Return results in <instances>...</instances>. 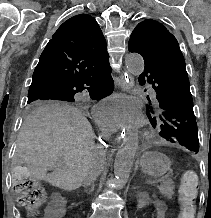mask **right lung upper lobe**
I'll return each instance as SVG.
<instances>
[{
    "label": "right lung upper lobe",
    "mask_w": 211,
    "mask_h": 218,
    "mask_svg": "<svg viewBox=\"0 0 211 218\" xmlns=\"http://www.w3.org/2000/svg\"><path fill=\"white\" fill-rule=\"evenodd\" d=\"M107 62L106 41L96 20L88 14L73 16L58 28L42 52L28 101L47 97L51 91L84 78Z\"/></svg>",
    "instance_id": "obj_1"
}]
</instances>
